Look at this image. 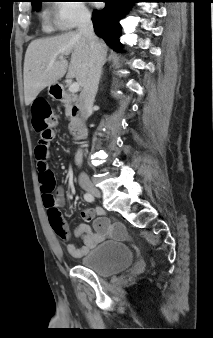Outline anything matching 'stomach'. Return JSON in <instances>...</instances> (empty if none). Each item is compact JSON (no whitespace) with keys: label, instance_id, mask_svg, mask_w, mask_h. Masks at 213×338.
Returning a JSON list of instances; mask_svg holds the SVG:
<instances>
[{"label":"stomach","instance_id":"0dacf381","mask_svg":"<svg viewBox=\"0 0 213 338\" xmlns=\"http://www.w3.org/2000/svg\"><path fill=\"white\" fill-rule=\"evenodd\" d=\"M54 86H56V84L50 85V86L48 87V91H49L50 95H53L52 92H53V89H54L53 87H54Z\"/></svg>","mask_w":213,"mask_h":338}]
</instances>
